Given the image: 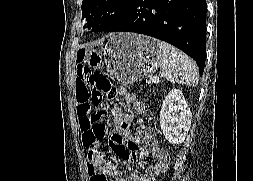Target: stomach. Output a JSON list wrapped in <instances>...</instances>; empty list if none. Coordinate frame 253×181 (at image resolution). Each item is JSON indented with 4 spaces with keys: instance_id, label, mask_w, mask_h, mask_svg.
<instances>
[{
    "instance_id": "obj_1",
    "label": "stomach",
    "mask_w": 253,
    "mask_h": 181,
    "mask_svg": "<svg viewBox=\"0 0 253 181\" xmlns=\"http://www.w3.org/2000/svg\"><path fill=\"white\" fill-rule=\"evenodd\" d=\"M107 71L123 84L150 75L161 64L159 41L134 33H118L102 48Z\"/></svg>"
}]
</instances>
